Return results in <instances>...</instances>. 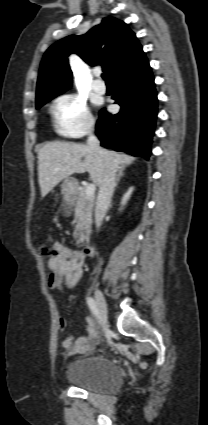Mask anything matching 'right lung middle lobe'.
I'll return each instance as SVG.
<instances>
[{
  "label": "right lung middle lobe",
  "mask_w": 208,
  "mask_h": 425,
  "mask_svg": "<svg viewBox=\"0 0 208 425\" xmlns=\"http://www.w3.org/2000/svg\"><path fill=\"white\" fill-rule=\"evenodd\" d=\"M61 93H53V94H49L45 97H43L37 104H36V108L39 109L40 107H42L45 103L49 102L51 99H53L54 97H56L57 95H59Z\"/></svg>",
  "instance_id": "right-lung-middle-lobe-1"
}]
</instances>
